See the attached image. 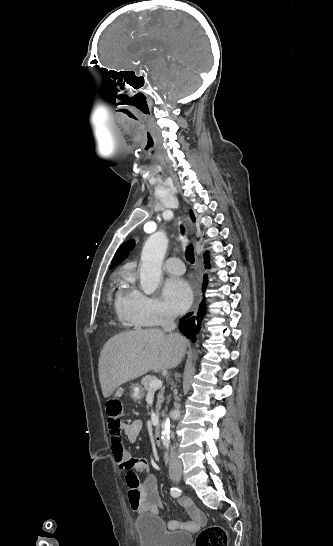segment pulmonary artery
<instances>
[{"label": "pulmonary artery", "mask_w": 333, "mask_h": 546, "mask_svg": "<svg viewBox=\"0 0 333 546\" xmlns=\"http://www.w3.org/2000/svg\"><path fill=\"white\" fill-rule=\"evenodd\" d=\"M165 271L171 274H182L185 271L183 262L177 257H170L163 264Z\"/></svg>", "instance_id": "e3ab8cb5"}]
</instances>
